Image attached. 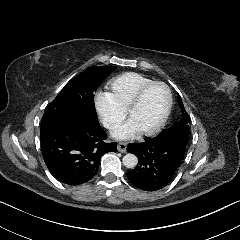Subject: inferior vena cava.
I'll list each match as a JSON object with an SVG mask.
<instances>
[{"label":"inferior vena cava","instance_id":"obj_1","mask_svg":"<svg viewBox=\"0 0 240 240\" xmlns=\"http://www.w3.org/2000/svg\"><path fill=\"white\" fill-rule=\"evenodd\" d=\"M103 125L105 128H107L109 130H114L117 127V123L112 122L110 120H104Z\"/></svg>","mask_w":240,"mask_h":240}]
</instances>
